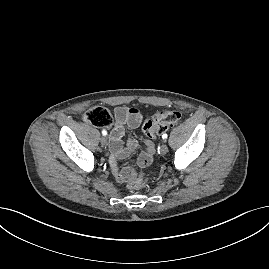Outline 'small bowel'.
Masks as SVG:
<instances>
[{"label": "small bowel", "instance_id": "small-bowel-1", "mask_svg": "<svg viewBox=\"0 0 269 269\" xmlns=\"http://www.w3.org/2000/svg\"><path fill=\"white\" fill-rule=\"evenodd\" d=\"M115 125L110 132V166L113 174L119 182H128L134 176L135 172L127 167L120 168V161L129 156L139 145V142L134 137H129L126 144H123V136L125 134V126L135 129L142 122L143 116L141 111L135 107L119 106L114 110ZM141 143L146 147L138 158V165L141 168L149 166L153 160L155 152L154 145L150 140L144 139Z\"/></svg>", "mask_w": 269, "mask_h": 269}]
</instances>
